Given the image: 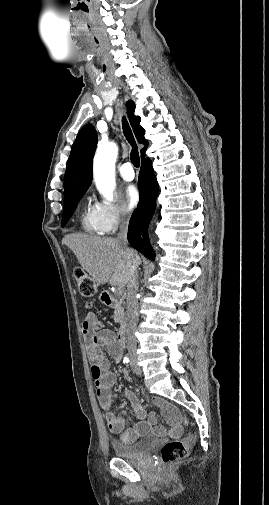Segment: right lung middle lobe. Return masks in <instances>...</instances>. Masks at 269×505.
<instances>
[{"instance_id":"dd1d6c3e","label":"right lung middle lobe","mask_w":269,"mask_h":505,"mask_svg":"<svg viewBox=\"0 0 269 505\" xmlns=\"http://www.w3.org/2000/svg\"><path fill=\"white\" fill-rule=\"evenodd\" d=\"M85 192L86 191H83L64 200V211L62 214V223H61L62 227L66 225V223L72 216L74 210L76 209L77 201H79L82 198Z\"/></svg>"}]
</instances>
